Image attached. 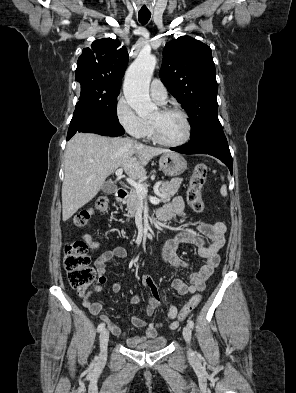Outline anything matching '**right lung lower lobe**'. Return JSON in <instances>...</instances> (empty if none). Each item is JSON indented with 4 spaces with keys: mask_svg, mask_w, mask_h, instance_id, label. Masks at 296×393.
Wrapping results in <instances>:
<instances>
[{
    "mask_svg": "<svg viewBox=\"0 0 296 393\" xmlns=\"http://www.w3.org/2000/svg\"><path fill=\"white\" fill-rule=\"evenodd\" d=\"M76 132L96 133L117 137L124 134L118 120L110 119L86 107H76L68 129L67 140Z\"/></svg>",
    "mask_w": 296,
    "mask_h": 393,
    "instance_id": "right-lung-lower-lobe-1",
    "label": "right lung lower lobe"
}]
</instances>
